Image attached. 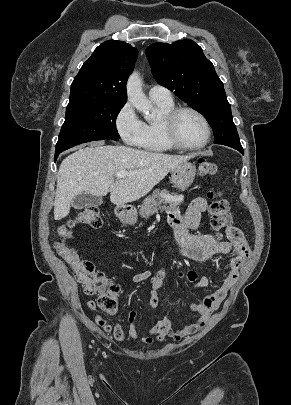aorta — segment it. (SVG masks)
Masks as SVG:
<instances>
[{
	"instance_id": "762f6f07",
	"label": "aorta",
	"mask_w": 291,
	"mask_h": 405,
	"mask_svg": "<svg viewBox=\"0 0 291 405\" xmlns=\"http://www.w3.org/2000/svg\"><path fill=\"white\" fill-rule=\"evenodd\" d=\"M127 97L129 102L141 113L146 120L154 117V108L142 90V80L138 72L134 71L127 81Z\"/></svg>"
}]
</instances>
